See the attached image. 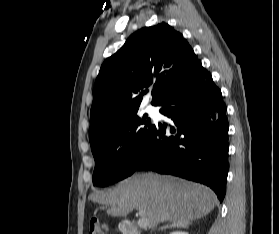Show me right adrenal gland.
<instances>
[{
  "mask_svg": "<svg viewBox=\"0 0 279 234\" xmlns=\"http://www.w3.org/2000/svg\"><path fill=\"white\" fill-rule=\"evenodd\" d=\"M190 225V222H176L172 223L171 225H166L160 228L161 231H164L168 228H175V227H188Z\"/></svg>",
  "mask_w": 279,
  "mask_h": 234,
  "instance_id": "1",
  "label": "right adrenal gland"
}]
</instances>
